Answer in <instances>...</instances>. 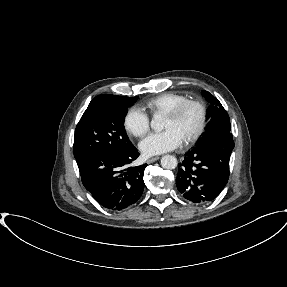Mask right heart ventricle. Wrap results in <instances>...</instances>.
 I'll list each match as a JSON object with an SVG mask.
<instances>
[{"label": "right heart ventricle", "instance_id": "1", "mask_svg": "<svg viewBox=\"0 0 287 287\" xmlns=\"http://www.w3.org/2000/svg\"><path fill=\"white\" fill-rule=\"evenodd\" d=\"M186 96L175 92H165L143 102L142 107L152 115L165 114L181 102Z\"/></svg>", "mask_w": 287, "mask_h": 287}]
</instances>
